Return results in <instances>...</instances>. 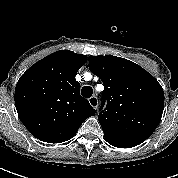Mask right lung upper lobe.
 I'll use <instances>...</instances> for the list:
<instances>
[{"instance_id":"cb5924a9","label":"right lung upper lobe","mask_w":178,"mask_h":178,"mask_svg":"<svg viewBox=\"0 0 178 178\" xmlns=\"http://www.w3.org/2000/svg\"><path fill=\"white\" fill-rule=\"evenodd\" d=\"M86 56L57 51L31 66L15 88L18 115L33 136L48 143L72 138L96 111L80 96L75 76Z\"/></svg>"}]
</instances>
